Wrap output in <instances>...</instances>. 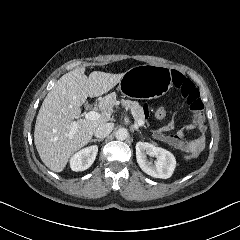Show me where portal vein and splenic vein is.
I'll use <instances>...</instances> for the list:
<instances>
[{
  "label": "portal vein and splenic vein",
  "mask_w": 240,
  "mask_h": 240,
  "mask_svg": "<svg viewBox=\"0 0 240 240\" xmlns=\"http://www.w3.org/2000/svg\"><path fill=\"white\" fill-rule=\"evenodd\" d=\"M100 117H101V114L95 111H89L85 114V119L91 120V121L98 120ZM136 122L139 126L140 125L143 126L145 124L142 119L141 120L138 119ZM76 129H77V126L74 125L69 132V136H73L76 132Z\"/></svg>",
  "instance_id": "obj_1"
}]
</instances>
